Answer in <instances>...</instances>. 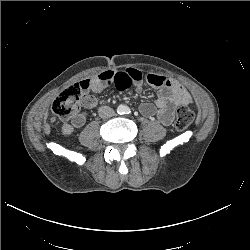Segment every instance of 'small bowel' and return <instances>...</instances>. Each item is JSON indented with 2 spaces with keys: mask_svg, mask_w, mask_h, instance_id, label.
I'll use <instances>...</instances> for the list:
<instances>
[{
  "mask_svg": "<svg viewBox=\"0 0 250 250\" xmlns=\"http://www.w3.org/2000/svg\"><path fill=\"white\" fill-rule=\"evenodd\" d=\"M144 82L156 88L158 92L154 104L143 103L140 105V112L146 117H155L160 123L168 125L173 120L175 107L191 103L190 94L177 81L155 73L144 74L134 68L105 71L82 80L79 83L82 89L80 103L85 109H93L97 106L98 101L91 92L98 93L112 85L120 90L135 86L139 91ZM86 120V112L79 111L70 121L62 123L61 130L63 134L69 135L75 129L83 126Z\"/></svg>",
  "mask_w": 250,
  "mask_h": 250,
  "instance_id": "obj_1",
  "label": "small bowel"
}]
</instances>
